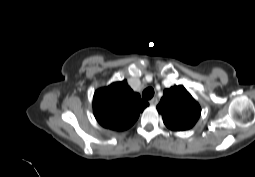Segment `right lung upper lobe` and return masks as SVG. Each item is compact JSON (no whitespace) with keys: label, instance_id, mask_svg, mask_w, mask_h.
<instances>
[{"label":"right lung upper lobe","instance_id":"cb5924a9","mask_svg":"<svg viewBox=\"0 0 255 177\" xmlns=\"http://www.w3.org/2000/svg\"><path fill=\"white\" fill-rule=\"evenodd\" d=\"M126 80L98 89L93 97V112L104 128L123 131L130 128L148 106Z\"/></svg>","mask_w":255,"mask_h":177}]
</instances>
